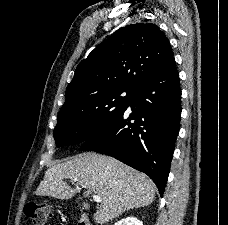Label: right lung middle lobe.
<instances>
[{"label": "right lung middle lobe", "instance_id": "1", "mask_svg": "<svg viewBox=\"0 0 228 225\" xmlns=\"http://www.w3.org/2000/svg\"><path fill=\"white\" fill-rule=\"evenodd\" d=\"M134 89L110 86L63 105L54 138L58 147L82 143L113 119Z\"/></svg>", "mask_w": 228, "mask_h": 225}]
</instances>
